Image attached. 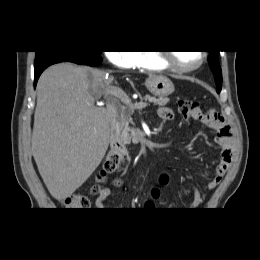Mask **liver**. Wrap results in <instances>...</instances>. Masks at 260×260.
I'll return each instance as SVG.
<instances>
[{
	"instance_id": "obj_1",
	"label": "liver",
	"mask_w": 260,
	"mask_h": 260,
	"mask_svg": "<svg viewBox=\"0 0 260 260\" xmlns=\"http://www.w3.org/2000/svg\"><path fill=\"white\" fill-rule=\"evenodd\" d=\"M106 76L97 68L59 63L46 69L38 80L32 154L57 200L82 186L108 149L107 111L95 106L112 88L113 79Z\"/></svg>"
}]
</instances>
